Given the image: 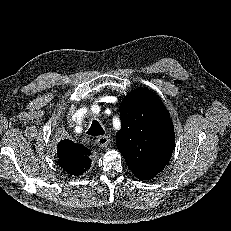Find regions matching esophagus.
I'll list each match as a JSON object with an SVG mask.
<instances>
[{
	"label": "esophagus",
	"mask_w": 231,
	"mask_h": 231,
	"mask_svg": "<svg viewBox=\"0 0 231 231\" xmlns=\"http://www.w3.org/2000/svg\"><path fill=\"white\" fill-rule=\"evenodd\" d=\"M96 143L101 148H107L110 143V138L108 136H100L96 140Z\"/></svg>",
	"instance_id": "esophagus-1"
}]
</instances>
